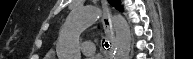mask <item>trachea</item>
Listing matches in <instances>:
<instances>
[{"label": "trachea", "mask_w": 193, "mask_h": 59, "mask_svg": "<svg viewBox=\"0 0 193 59\" xmlns=\"http://www.w3.org/2000/svg\"><path fill=\"white\" fill-rule=\"evenodd\" d=\"M105 47H106V48H108V47H109L108 42H105Z\"/></svg>", "instance_id": "1"}]
</instances>
